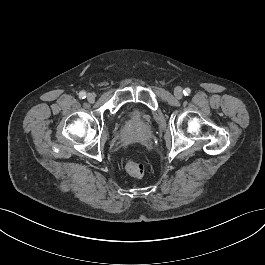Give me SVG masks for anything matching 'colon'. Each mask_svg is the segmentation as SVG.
Here are the masks:
<instances>
[{
  "label": "colon",
  "mask_w": 265,
  "mask_h": 265,
  "mask_svg": "<svg viewBox=\"0 0 265 265\" xmlns=\"http://www.w3.org/2000/svg\"><path fill=\"white\" fill-rule=\"evenodd\" d=\"M125 169L127 173L135 178H142L145 174L144 164L137 158L130 159L126 165Z\"/></svg>",
  "instance_id": "1"
}]
</instances>
